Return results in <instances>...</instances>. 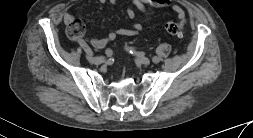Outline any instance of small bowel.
Listing matches in <instances>:
<instances>
[{
  "label": "small bowel",
  "mask_w": 253,
  "mask_h": 138,
  "mask_svg": "<svg viewBox=\"0 0 253 138\" xmlns=\"http://www.w3.org/2000/svg\"><path fill=\"white\" fill-rule=\"evenodd\" d=\"M100 3H111L113 5H116L118 3V0H99ZM133 4V8H128L126 10L127 17L134 21L129 28H121L116 29L111 32H109L104 37H94L91 38L90 43L91 45L96 49H102L104 48L108 43L112 42L116 39L119 35L124 36H133L141 32L142 25L139 22H136V16L137 13L146 14L147 9L149 7L152 8H168L171 7L175 15L178 19H180L182 22L186 21V14L183 10V8L175 3H172L171 0H131ZM63 19L65 24H70L72 21L75 20V16L71 11H66L63 15ZM79 44L84 47L86 51H90V48L86 45L84 40L80 39Z\"/></svg>",
  "instance_id": "1"
}]
</instances>
